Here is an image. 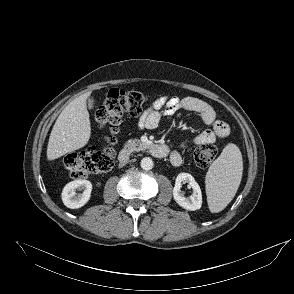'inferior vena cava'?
I'll list each match as a JSON object with an SVG mask.
<instances>
[{
    "label": "inferior vena cava",
    "mask_w": 294,
    "mask_h": 294,
    "mask_svg": "<svg viewBox=\"0 0 294 294\" xmlns=\"http://www.w3.org/2000/svg\"><path fill=\"white\" fill-rule=\"evenodd\" d=\"M126 162H127V159L121 161L122 164H124Z\"/></svg>",
    "instance_id": "1"
}]
</instances>
